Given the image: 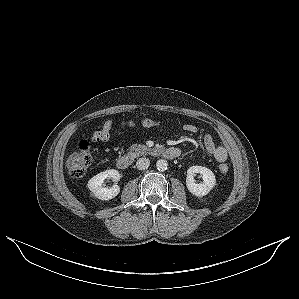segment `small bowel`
Here are the masks:
<instances>
[{"mask_svg":"<svg viewBox=\"0 0 299 299\" xmlns=\"http://www.w3.org/2000/svg\"><path fill=\"white\" fill-rule=\"evenodd\" d=\"M113 126L112 120H107L100 130L94 131L91 135L93 142H104L110 139ZM183 130L188 133H196L197 127L193 124H185ZM203 145L209 155L216 161L224 162L228 157L227 149L222 145H216L211 135L207 134L203 138Z\"/></svg>","mask_w":299,"mask_h":299,"instance_id":"c3829d8e","label":"small bowel"}]
</instances>
